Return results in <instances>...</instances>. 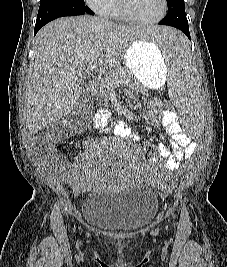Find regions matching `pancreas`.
I'll list each match as a JSON object with an SVG mask.
<instances>
[{
    "label": "pancreas",
    "instance_id": "obj_1",
    "mask_svg": "<svg viewBox=\"0 0 227 267\" xmlns=\"http://www.w3.org/2000/svg\"><path fill=\"white\" fill-rule=\"evenodd\" d=\"M118 84H123L126 86H140L128 70L115 69L110 71L103 79H101L99 83V96L103 99V101H108V99L111 97L113 89Z\"/></svg>",
    "mask_w": 227,
    "mask_h": 267
}]
</instances>
